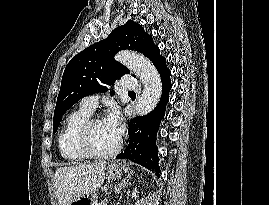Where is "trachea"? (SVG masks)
I'll use <instances>...</instances> for the list:
<instances>
[{
  "label": "trachea",
  "mask_w": 269,
  "mask_h": 205,
  "mask_svg": "<svg viewBox=\"0 0 269 205\" xmlns=\"http://www.w3.org/2000/svg\"><path fill=\"white\" fill-rule=\"evenodd\" d=\"M128 94H135V92H133V91H129Z\"/></svg>",
  "instance_id": "3493384b"
}]
</instances>
